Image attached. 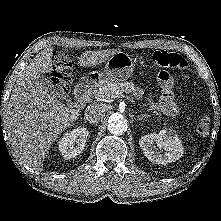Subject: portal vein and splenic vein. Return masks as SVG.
<instances>
[{
	"instance_id": "obj_1",
	"label": "portal vein and splenic vein",
	"mask_w": 221,
	"mask_h": 221,
	"mask_svg": "<svg viewBox=\"0 0 221 221\" xmlns=\"http://www.w3.org/2000/svg\"><path fill=\"white\" fill-rule=\"evenodd\" d=\"M117 97L123 96L121 92L116 93Z\"/></svg>"
}]
</instances>
